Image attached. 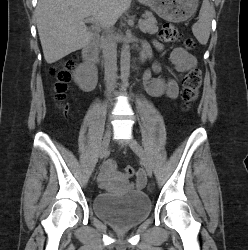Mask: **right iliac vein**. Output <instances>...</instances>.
Returning <instances> with one entry per match:
<instances>
[{
	"mask_svg": "<svg viewBox=\"0 0 248 250\" xmlns=\"http://www.w3.org/2000/svg\"><path fill=\"white\" fill-rule=\"evenodd\" d=\"M111 134H112L111 125L108 124L106 127V131H105L102 144H101V148H100V152H99L100 159H103L107 155L109 143L111 139Z\"/></svg>",
	"mask_w": 248,
	"mask_h": 250,
	"instance_id": "63e3f726",
	"label": "right iliac vein"
}]
</instances>
